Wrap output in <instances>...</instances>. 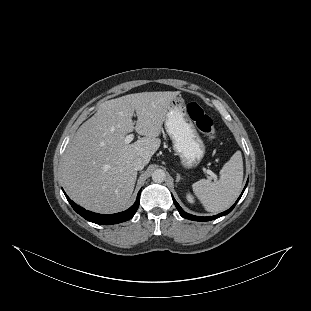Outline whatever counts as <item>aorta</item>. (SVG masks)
I'll return each instance as SVG.
<instances>
[{"label": "aorta", "instance_id": "obj_1", "mask_svg": "<svg viewBox=\"0 0 311 311\" xmlns=\"http://www.w3.org/2000/svg\"><path fill=\"white\" fill-rule=\"evenodd\" d=\"M165 179H166V173L162 169H156L152 173V180L155 183H163L165 181Z\"/></svg>", "mask_w": 311, "mask_h": 311}]
</instances>
